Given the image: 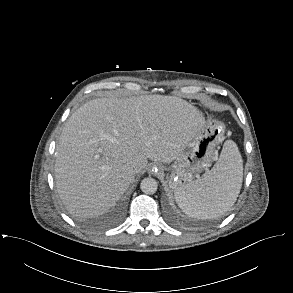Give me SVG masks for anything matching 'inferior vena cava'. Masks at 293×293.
I'll use <instances>...</instances> for the list:
<instances>
[{"label":"inferior vena cava","instance_id":"1","mask_svg":"<svg viewBox=\"0 0 293 293\" xmlns=\"http://www.w3.org/2000/svg\"><path fill=\"white\" fill-rule=\"evenodd\" d=\"M128 170L131 172V173H138L140 171V168L137 164H131L129 167H128Z\"/></svg>","mask_w":293,"mask_h":293}]
</instances>
